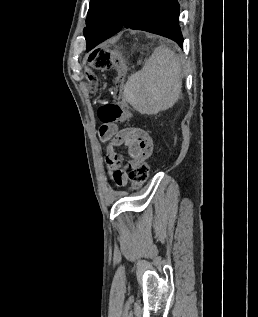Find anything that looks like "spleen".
I'll return each instance as SVG.
<instances>
[{"label": "spleen", "mask_w": 258, "mask_h": 317, "mask_svg": "<svg viewBox=\"0 0 258 317\" xmlns=\"http://www.w3.org/2000/svg\"><path fill=\"white\" fill-rule=\"evenodd\" d=\"M181 64L166 44L155 48L143 68L128 76L124 96L141 114H157L177 102L181 94Z\"/></svg>", "instance_id": "3e777b00"}]
</instances>
